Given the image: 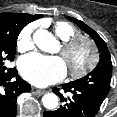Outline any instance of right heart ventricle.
<instances>
[{"mask_svg": "<svg viewBox=\"0 0 117 117\" xmlns=\"http://www.w3.org/2000/svg\"><path fill=\"white\" fill-rule=\"evenodd\" d=\"M53 30L62 41H66L78 35V30L66 21H56L53 24Z\"/></svg>", "mask_w": 117, "mask_h": 117, "instance_id": "1", "label": "right heart ventricle"}]
</instances>
